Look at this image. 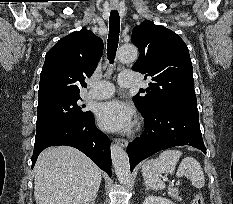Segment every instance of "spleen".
<instances>
[{
    "label": "spleen",
    "instance_id": "spleen-1",
    "mask_svg": "<svg viewBox=\"0 0 233 204\" xmlns=\"http://www.w3.org/2000/svg\"><path fill=\"white\" fill-rule=\"evenodd\" d=\"M181 155L182 152L179 150L168 149L163 151L156 159L145 161L142 166V175L145 184L153 190L164 189L165 184L159 178V175L160 173L173 174ZM176 176L189 178L192 185L196 188H202L205 184L201 165L193 157H186L181 161Z\"/></svg>",
    "mask_w": 233,
    "mask_h": 204
}]
</instances>
